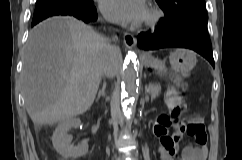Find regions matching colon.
<instances>
[{
    "mask_svg": "<svg viewBox=\"0 0 242 160\" xmlns=\"http://www.w3.org/2000/svg\"><path fill=\"white\" fill-rule=\"evenodd\" d=\"M166 101L169 108V114L163 113L161 114L156 122L154 131L156 133H162L167 130V126H169L172 122V119L182 118L184 113L186 112L185 105L181 102L179 89L178 88H169L166 94ZM199 135L200 141L206 140V133L203 125H197L196 127L188 130V134Z\"/></svg>",
    "mask_w": 242,
    "mask_h": 160,
    "instance_id": "5ec220e1",
    "label": "colon"
}]
</instances>
